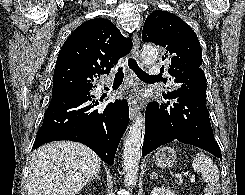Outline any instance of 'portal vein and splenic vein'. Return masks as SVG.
<instances>
[{"label":"portal vein and splenic vein","instance_id":"portal-vein-and-splenic-vein-1","mask_svg":"<svg viewBox=\"0 0 245 195\" xmlns=\"http://www.w3.org/2000/svg\"><path fill=\"white\" fill-rule=\"evenodd\" d=\"M191 182H194L195 181V176H192L191 179H190Z\"/></svg>","mask_w":245,"mask_h":195}]
</instances>
